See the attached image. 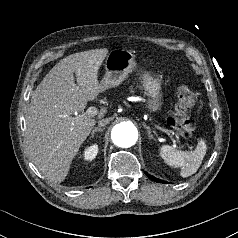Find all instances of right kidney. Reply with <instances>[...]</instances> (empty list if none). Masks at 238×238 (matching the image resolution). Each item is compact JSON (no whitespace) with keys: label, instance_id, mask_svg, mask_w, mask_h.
<instances>
[{"label":"right kidney","instance_id":"1","mask_svg":"<svg viewBox=\"0 0 238 238\" xmlns=\"http://www.w3.org/2000/svg\"><path fill=\"white\" fill-rule=\"evenodd\" d=\"M98 153V145L94 144L85 149L83 156L86 161H92Z\"/></svg>","mask_w":238,"mask_h":238}]
</instances>
